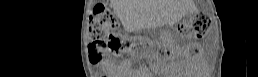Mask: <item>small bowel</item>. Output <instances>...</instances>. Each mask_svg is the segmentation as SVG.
Here are the masks:
<instances>
[{"label":"small bowel","instance_id":"c3829d8e","mask_svg":"<svg viewBox=\"0 0 258 77\" xmlns=\"http://www.w3.org/2000/svg\"><path fill=\"white\" fill-rule=\"evenodd\" d=\"M193 60H194V58H193ZM107 65H110V62H107ZM111 70H113V68H110ZM122 69H127V65H124V66H122ZM109 71L108 70V72H114V71Z\"/></svg>","mask_w":258,"mask_h":77}]
</instances>
